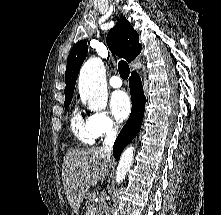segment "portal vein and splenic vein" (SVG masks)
<instances>
[{"mask_svg":"<svg viewBox=\"0 0 221 215\" xmlns=\"http://www.w3.org/2000/svg\"><path fill=\"white\" fill-rule=\"evenodd\" d=\"M96 208L95 207H90L88 210H87V215H93V213L95 212Z\"/></svg>","mask_w":221,"mask_h":215,"instance_id":"portal-vein-and-splenic-vein-1","label":"portal vein and splenic vein"}]
</instances>
